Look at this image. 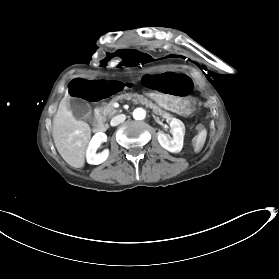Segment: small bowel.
<instances>
[{"label": "small bowel", "mask_w": 279, "mask_h": 279, "mask_svg": "<svg viewBox=\"0 0 279 279\" xmlns=\"http://www.w3.org/2000/svg\"><path fill=\"white\" fill-rule=\"evenodd\" d=\"M142 84L151 93L173 96L188 94L192 85L186 74L173 71L146 74L142 78Z\"/></svg>", "instance_id": "obj_1"}]
</instances>
